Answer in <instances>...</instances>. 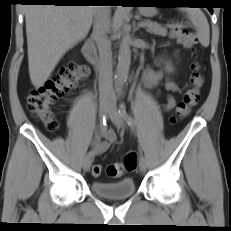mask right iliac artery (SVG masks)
Returning a JSON list of instances; mask_svg holds the SVG:
<instances>
[{
    "label": "right iliac artery",
    "mask_w": 231,
    "mask_h": 231,
    "mask_svg": "<svg viewBox=\"0 0 231 231\" xmlns=\"http://www.w3.org/2000/svg\"><path fill=\"white\" fill-rule=\"evenodd\" d=\"M107 130V120H106V117L103 116V118L101 119L100 121V124H99V132L100 133H103ZM87 156H90V157H94V153L93 151H90Z\"/></svg>",
    "instance_id": "right-iliac-artery-1"
}]
</instances>
